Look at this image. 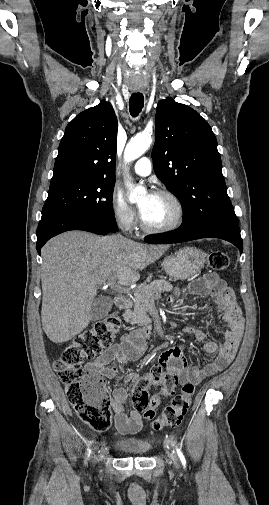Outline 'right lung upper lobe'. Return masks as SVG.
<instances>
[{"label": "right lung upper lobe", "instance_id": "obj_1", "mask_svg": "<svg viewBox=\"0 0 269 505\" xmlns=\"http://www.w3.org/2000/svg\"><path fill=\"white\" fill-rule=\"evenodd\" d=\"M117 118L109 102L78 114L66 127L50 188L81 181H115Z\"/></svg>", "mask_w": 269, "mask_h": 505}]
</instances>
